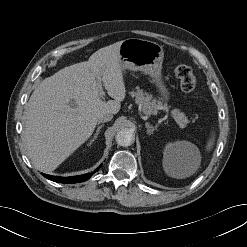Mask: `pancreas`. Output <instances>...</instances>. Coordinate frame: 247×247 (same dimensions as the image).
Returning a JSON list of instances; mask_svg holds the SVG:
<instances>
[{
	"mask_svg": "<svg viewBox=\"0 0 247 247\" xmlns=\"http://www.w3.org/2000/svg\"><path fill=\"white\" fill-rule=\"evenodd\" d=\"M131 97L135 98V103L142 108L144 114H155L159 110H168L166 104L157 101L152 95L144 93L142 90L137 89L136 91L130 92ZM175 114L178 122L184 127L188 123L187 117L184 113L175 109L172 111Z\"/></svg>",
	"mask_w": 247,
	"mask_h": 247,
	"instance_id": "pancreas-1",
	"label": "pancreas"
}]
</instances>
